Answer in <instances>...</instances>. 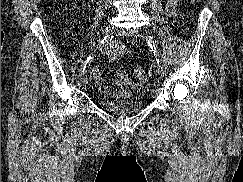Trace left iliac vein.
<instances>
[{
    "label": "left iliac vein",
    "instance_id": "1",
    "mask_svg": "<svg viewBox=\"0 0 243 182\" xmlns=\"http://www.w3.org/2000/svg\"><path fill=\"white\" fill-rule=\"evenodd\" d=\"M118 33L121 36H129V37H134V38L141 37V34L137 30H120ZM162 72H163L162 67L160 65H158L156 72H155L156 78H158V79L161 78Z\"/></svg>",
    "mask_w": 243,
    "mask_h": 182
}]
</instances>
